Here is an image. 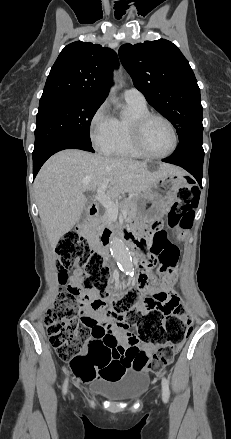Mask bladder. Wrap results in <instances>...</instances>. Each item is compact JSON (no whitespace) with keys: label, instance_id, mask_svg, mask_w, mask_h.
<instances>
[{"label":"bladder","instance_id":"bladder-1","mask_svg":"<svg viewBox=\"0 0 231 439\" xmlns=\"http://www.w3.org/2000/svg\"><path fill=\"white\" fill-rule=\"evenodd\" d=\"M148 384V376L140 369L130 368L118 382L95 386L97 393L110 400H128L138 397Z\"/></svg>","mask_w":231,"mask_h":439}]
</instances>
